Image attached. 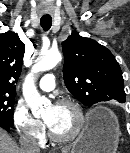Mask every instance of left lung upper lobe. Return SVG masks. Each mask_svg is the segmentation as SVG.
<instances>
[{"label":"left lung upper lobe","instance_id":"5c2ea615","mask_svg":"<svg viewBox=\"0 0 130 153\" xmlns=\"http://www.w3.org/2000/svg\"><path fill=\"white\" fill-rule=\"evenodd\" d=\"M63 76L70 93L85 106L125 102L121 68L109 49L77 32L62 42Z\"/></svg>","mask_w":130,"mask_h":153}]
</instances>
